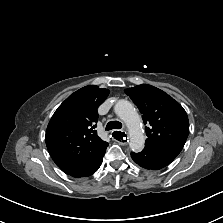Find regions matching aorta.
<instances>
[{
  "instance_id": "762f6f07",
  "label": "aorta",
  "mask_w": 223,
  "mask_h": 223,
  "mask_svg": "<svg viewBox=\"0 0 223 223\" xmlns=\"http://www.w3.org/2000/svg\"><path fill=\"white\" fill-rule=\"evenodd\" d=\"M114 110L129 130V147L133 152H140L144 148L145 137L141 128V119L136 109L126 100H119Z\"/></svg>"
}]
</instances>
